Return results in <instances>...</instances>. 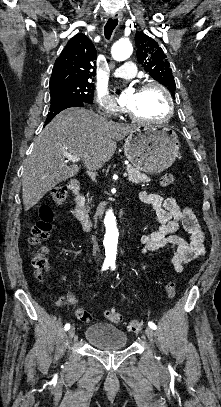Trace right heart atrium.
<instances>
[{
    "instance_id": "1",
    "label": "right heart atrium",
    "mask_w": 221,
    "mask_h": 407,
    "mask_svg": "<svg viewBox=\"0 0 221 407\" xmlns=\"http://www.w3.org/2000/svg\"><path fill=\"white\" fill-rule=\"evenodd\" d=\"M95 103L97 110L100 113L116 116L122 111V108L105 91H98V93L95 96Z\"/></svg>"
}]
</instances>
